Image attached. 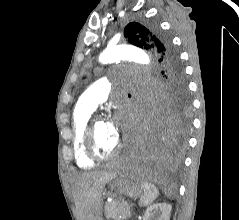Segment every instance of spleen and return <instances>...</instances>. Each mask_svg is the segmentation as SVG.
Here are the masks:
<instances>
[{"instance_id": "1", "label": "spleen", "mask_w": 239, "mask_h": 220, "mask_svg": "<svg viewBox=\"0 0 239 220\" xmlns=\"http://www.w3.org/2000/svg\"><path fill=\"white\" fill-rule=\"evenodd\" d=\"M140 187L143 190V194L140 197V206L150 205L159 195V190L152 183L147 181H140Z\"/></svg>"}]
</instances>
